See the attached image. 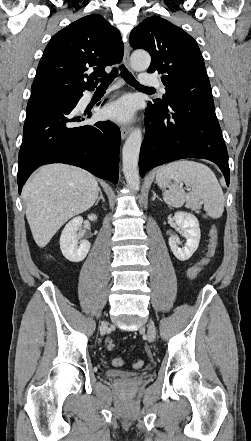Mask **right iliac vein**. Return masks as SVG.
<instances>
[{
	"mask_svg": "<svg viewBox=\"0 0 251 441\" xmlns=\"http://www.w3.org/2000/svg\"><path fill=\"white\" fill-rule=\"evenodd\" d=\"M106 328H107V324L104 323V324L102 325V330H106Z\"/></svg>",
	"mask_w": 251,
	"mask_h": 441,
	"instance_id": "right-iliac-vein-1",
	"label": "right iliac vein"
}]
</instances>
